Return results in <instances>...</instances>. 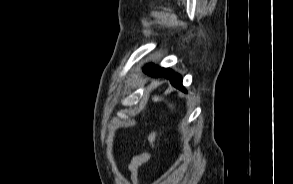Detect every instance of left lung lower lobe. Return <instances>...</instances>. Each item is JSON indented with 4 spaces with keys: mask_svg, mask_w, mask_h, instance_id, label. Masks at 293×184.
<instances>
[{
    "mask_svg": "<svg viewBox=\"0 0 293 184\" xmlns=\"http://www.w3.org/2000/svg\"><path fill=\"white\" fill-rule=\"evenodd\" d=\"M143 70L145 73H147L151 76H154V77L163 76V77L169 79L171 84L174 87L186 92V90L182 86L181 77L178 74L174 73L172 70L160 68V67H154L153 64L146 65Z\"/></svg>",
    "mask_w": 293,
    "mask_h": 184,
    "instance_id": "0a47b994",
    "label": "left lung lower lobe"
}]
</instances>
